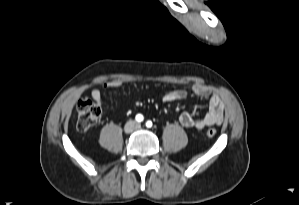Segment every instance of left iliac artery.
Masks as SVG:
<instances>
[{
  "label": "left iliac artery",
  "instance_id": "obj_1",
  "mask_svg": "<svg viewBox=\"0 0 299 205\" xmlns=\"http://www.w3.org/2000/svg\"><path fill=\"white\" fill-rule=\"evenodd\" d=\"M146 126H147L148 128L152 127V122H151V121H147V122H146Z\"/></svg>",
  "mask_w": 299,
  "mask_h": 205
}]
</instances>
